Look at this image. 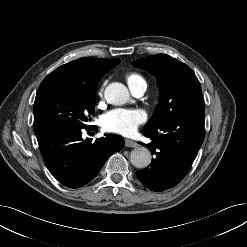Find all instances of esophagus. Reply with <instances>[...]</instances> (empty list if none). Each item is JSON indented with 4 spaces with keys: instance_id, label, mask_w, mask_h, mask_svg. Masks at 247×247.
Masks as SVG:
<instances>
[{
    "instance_id": "obj_1",
    "label": "esophagus",
    "mask_w": 247,
    "mask_h": 247,
    "mask_svg": "<svg viewBox=\"0 0 247 247\" xmlns=\"http://www.w3.org/2000/svg\"><path fill=\"white\" fill-rule=\"evenodd\" d=\"M125 146L134 148V147L138 146V143L133 141V140H131V139H125Z\"/></svg>"
}]
</instances>
